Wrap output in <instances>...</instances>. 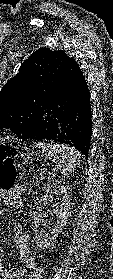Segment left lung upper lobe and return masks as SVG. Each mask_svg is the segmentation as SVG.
Returning a JSON list of instances; mask_svg holds the SVG:
<instances>
[{
    "mask_svg": "<svg viewBox=\"0 0 113 279\" xmlns=\"http://www.w3.org/2000/svg\"><path fill=\"white\" fill-rule=\"evenodd\" d=\"M70 59L63 50L44 47L33 52L0 91V129L10 128L20 137L30 126L37 104Z\"/></svg>",
    "mask_w": 113,
    "mask_h": 279,
    "instance_id": "obj_1",
    "label": "left lung upper lobe"
}]
</instances>
